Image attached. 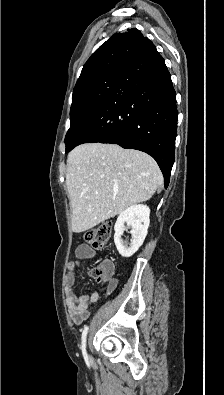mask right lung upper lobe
<instances>
[{
	"instance_id": "right-lung-upper-lobe-1",
	"label": "right lung upper lobe",
	"mask_w": 224,
	"mask_h": 395,
	"mask_svg": "<svg viewBox=\"0 0 224 395\" xmlns=\"http://www.w3.org/2000/svg\"><path fill=\"white\" fill-rule=\"evenodd\" d=\"M144 39L136 28L114 34L85 63L74 90L106 74L122 72L134 58Z\"/></svg>"
}]
</instances>
